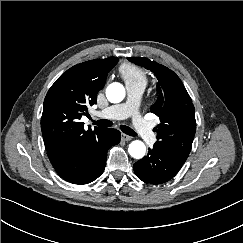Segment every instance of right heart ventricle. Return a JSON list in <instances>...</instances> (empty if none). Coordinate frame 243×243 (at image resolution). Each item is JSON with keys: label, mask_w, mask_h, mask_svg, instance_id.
Masks as SVG:
<instances>
[{"label": "right heart ventricle", "mask_w": 243, "mask_h": 243, "mask_svg": "<svg viewBox=\"0 0 243 243\" xmlns=\"http://www.w3.org/2000/svg\"><path fill=\"white\" fill-rule=\"evenodd\" d=\"M119 72L127 84H141L145 87L147 75L145 71L132 63H124L120 66Z\"/></svg>", "instance_id": "right-heart-ventricle-1"}]
</instances>
